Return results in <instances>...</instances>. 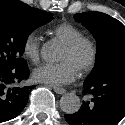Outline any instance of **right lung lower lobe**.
Segmentation results:
<instances>
[{"instance_id": "1", "label": "right lung lower lobe", "mask_w": 125, "mask_h": 125, "mask_svg": "<svg viewBox=\"0 0 125 125\" xmlns=\"http://www.w3.org/2000/svg\"><path fill=\"white\" fill-rule=\"evenodd\" d=\"M28 77L26 63L8 67L0 62V123L15 118L26 106L31 87L21 83Z\"/></svg>"}]
</instances>
